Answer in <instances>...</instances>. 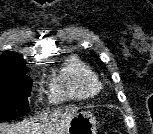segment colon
Returning <instances> with one entry per match:
<instances>
[{
    "label": "colon",
    "mask_w": 153,
    "mask_h": 134,
    "mask_svg": "<svg viewBox=\"0 0 153 134\" xmlns=\"http://www.w3.org/2000/svg\"><path fill=\"white\" fill-rule=\"evenodd\" d=\"M104 134H119L117 131H109V132H106Z\"/></svg>",
    "instance_id": "colon-1"
}]
</instances>
